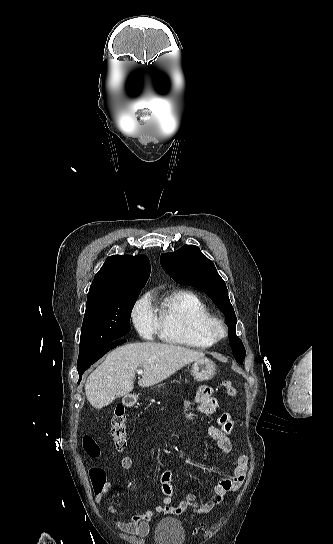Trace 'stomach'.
<instances>
[{
	"instance_id": "obj_1",
	"label": "stomach",
	"mask_w": 333,
	"mask_h": 544,
	"mask_svg": "<svg viewBox=\"0 0 333 544\" xmlns=\"http://www.w3.org/2000/svg\"><path fill=\"white\" fill-rule=\"evenodd\" d=\"M216 372V365L207 358H202L194 362L191 368V374L196 380H210Z\"/></svg>"
}]
</instances>
